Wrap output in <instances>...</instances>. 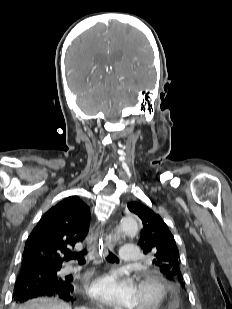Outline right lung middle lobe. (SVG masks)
Segmentation results:
<instances>
[{
	"label": "right lung middle lobe",
	"mask_w": 232,
	"mask_h": 309,
	"mask_svg": "<svg viewBox=\"0 0 232 309\" xmlns=\"http://www.w3.org/2000/svg\"><path fill=\"white\" fill-rule=\"evenodd\" d=\"M57 272L58 271L45 272L40 275L34 273L32 274L20 273L18 278H22L24 280H30L34 283L52 284L63 279L58 276Z\"/></svg>",
	"instance_id": "obj_1"
}]
</instances>
